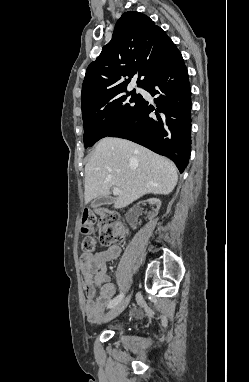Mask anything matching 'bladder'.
<instances>
[{
	"instance_id": "1",
	"label": "bladder",
	"mask_w": 249,
	"mask_h": 382,
	"mask_svg": "<svg viewBox=\"0 0 249 382\" xmlns=\"http://www.w3.org/2000/svg\"><path fill=\"white\" fill-rule=\"evenodd\" d=\"M122 329H123V327L121 325L115 326V331H117V332H121Z\"/></svg>"
}]
</instances>
